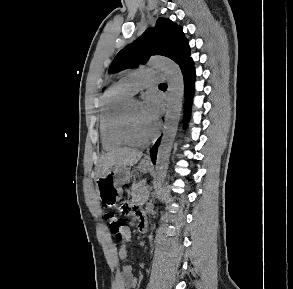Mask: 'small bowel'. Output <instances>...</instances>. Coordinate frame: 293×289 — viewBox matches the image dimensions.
<instances>
[{"instance_id":"obj_1","label":"small bowel","mask_w":293,"mask_h":289,"mask_svg":"<svg viewBox=\"0 0 293 289\" xmlns=\"http://www.w3.org/2000/svg\"><path fill=\"white\" fill-rule=\"evenodd\" d=\"M139 221L144 218L142 212L137 214ZM131 238V231L128 227L125 228L124 234L121 240V244L118 251V257L121 260L128 258L127 243ZM137 278L133 274V269L131 265H125L122 267V270L117 278V287L118 289H135L137 286Z\"/></svg>"}]
</instances>
